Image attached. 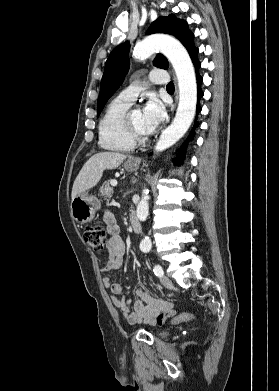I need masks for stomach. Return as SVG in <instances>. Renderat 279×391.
I'll return each mask as SVG.
<instances>
[{"label": "stomach", "instance_id": "stomach-1", "mask_svg": "<svg viewBox=\"0 0 279 391\" xmlns=\"http://www.w3.org/2000/svg\"><path fill=\"white\" fill-rule=\"evenodd\" d=\"M140 161L131 159L124 163V168L128 172H134L139 168ZM101 207L100 201L93 195L84 191L77 195L71 202V216L81 224L91 222L96 211Z\"/></svg>", "mask_w": 279, "mask_h": 391}]
</instances>
